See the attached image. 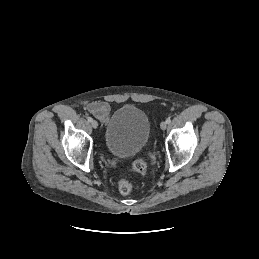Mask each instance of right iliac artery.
<instances>
[{"label":"right iliac artery","instance_id":"1","mask_svg":"<svg viewBox=\"0 0 259 259\" xmlns=\"http://www.w3.org/2000/svg\"><path fill=\"white\" fill-rule=\"evenodd\" d=\"M87 120L88 122H92L93 119L91 117H88Z\"/></svg>","mask_w":259,"mask_h":259}]
</instances>
